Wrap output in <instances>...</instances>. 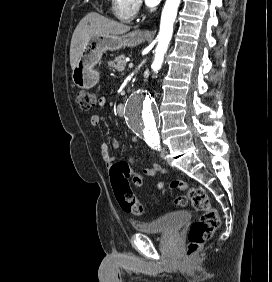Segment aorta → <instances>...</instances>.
Instances as JSON below:
<instances>
[{
	"mask_svg": "<svg viewBox=\"0 0 272 282\" xmlns=\"http://www.w3.org/2000/svg\"><path fill=\"white\" fill-rule=\"evenodd\" d=\"M181 0H166L160 22L158 44L152 63V70L157 72L163 63L173 34L178 7ZM125 119L128 127L147 140L160 138L158 129V109L152 96L151 86L143 85L128 97L125 109Z\"/></svg>",
	"mask_w": 272,
	"mask_h": 282,
	"instance_id": "obj_1",
	"label": "aorta"
}]
</instances>
